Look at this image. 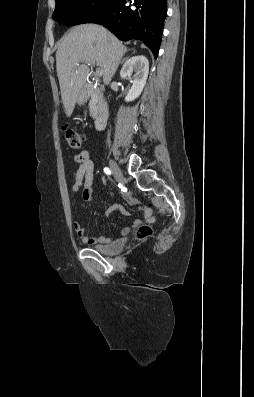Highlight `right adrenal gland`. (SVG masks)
I'll return each mask as SVG.
<instances>
[{
  "label": "right adrenal gland",
  "instance_id": "2a0ac1e0",
  "mask_svg": "<svg viewBox=\"0 0 254 397\" xmlns=\"http://www.w3.org/2000/svg\"><path fill=\"white\" fill-rule=\"evenodd\" d=\"M134 53V52H133ZM127 58L123 59V61L121 63H123Z\"/></svg>",
  "mask_w": 254,
  "mask_h": 397
}]
</instances>
